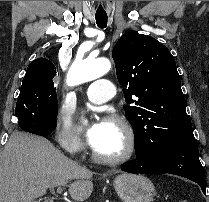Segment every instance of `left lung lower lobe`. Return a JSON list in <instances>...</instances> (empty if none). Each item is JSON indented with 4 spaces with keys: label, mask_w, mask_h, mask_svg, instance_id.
<instances>
[{
    "label": "left lung lower lobe",
    "mask_w": 209,
    "mask_h": 202,
    "mask_svg": "<svg viewBox=\"0 0 209 202\" xmlns=\"http://www.w3.org/2000/svg\"><path fill=\"white\" fill-rule=\"evenodd\" d=\"M135 150L137 159L122 166V171L179 175L196 182L203 193L206 192V176L199 160L198 146L193 134L178 139L158 154H151L150 151L140 147H135Z\"/></svg>",
    "instance_id": "obj_1"
}]
</instances>
